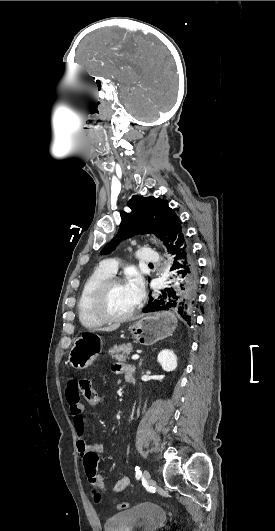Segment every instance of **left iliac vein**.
<instances>
[{
	"instance_id": "left-iliac-vein-1",
	"label": "left iliac vein",
	"mask_w": 275,
	"mask_h": 531,
	"mask_svg": "<svg viewBox=\"0 0 275 531\" xmlns=\"http://www.w3.org/2000/svg\"><path fill=\"white\" fill-rule=\"evenodd\" d=\"M144 478L146 479L147 483L151 486L155 485V480H153L151 477H150V474L148 473L147 470L144 471Z\"/></svg>"
}]
</instances>
